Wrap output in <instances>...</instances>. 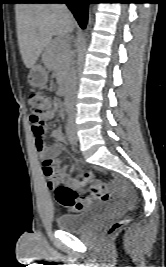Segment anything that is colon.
Listing matches in <instances>:
<instances>
[{"mask_svg": "<svg viewBox=\"0 0 166 267\" xmlns=\"http://www.w3.org/2000/svg\"><path fill=\"white\" fill-rule=\"evenodd\" d=\"M28 103L31 106V118L35 121H39L40 117L53 108L54 102L51 97L47 94H43L38 91H32L28 95ZM38 141L42 145L44 143V133L40 129L38 132ZM43 169L47 175L54 174V166L51 161L46 160L43 163ZM91 179L90 173L86 172L81 175L79 181L81 183L88 182ZM114 181V179H113ZM99 186L100 190L96 191L95 187ZM92 192H113V191H104L100 184H96ZM55 198L60 205L66 208H72L74 210L80 211L83 210L86 206V199L80 198L76 191L67 186H58L55 190ZM101 198V197H99ZM129 221L128 218L120 219L114 222L107 230V235L110 236L114 234L118 229L124 226Z\"/></svg>", "mask_w": 166, "mask_h": 267, "instance_id": "obj_1", "label": "colon"}]
</instances>
